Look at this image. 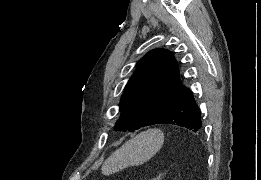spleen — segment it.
<instances>
[{
	"label": "spleen",
	"instance_id": "3e777b00",
	"mask_svg": "<svg viewBox=\"0 0 261 180\" xmlns=\"http://www.w3.org/2000/svg\"><path fill=\"white\" fill-rule=\"evenodd\" d=\"M164 144V134L158 128L141 132L132 140H128L119 150L113 152L108 158L102 174H116L129 166H142L148 160H151Z\"/></svg>",
	"mask_w": 261,
	"mask_h": 180
}]
</instances>
